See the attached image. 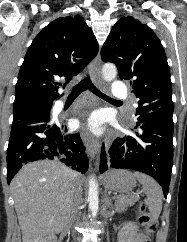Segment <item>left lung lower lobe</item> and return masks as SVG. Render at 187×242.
Returning <instances> with one entry per match:
<instances>
[{
    "mask_svg": "<svg viewBox=\"0 0 187 242\" xmlns=\"http://www.w3.org/2000/svg\"><path fill=\"white\" fill-rule=\"evenodd\" d=\"M173 125L142 122L133 135L117 138L105 150L102 146L100 173L109 167L132 169L152 176L167 197L173 166Z\"/></svg>",
    "mask_w": 187,
    "mask_h": 242,
    "instance_id": "left-lung-lower-lobe-1",
    "label": "left lung lower lobe"
}]
</instances>
